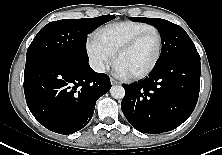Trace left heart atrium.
I'll return each instance as SVG.
<instances>
[{
  "label": "left heart atrium",
  "instance_id": "1",
  "mask_svg": "<svg viewBox=\"0 0 222 155\" xmlns=\"http://www.w3.org/2000/svg\"><path fill=\"white\" fill-rule=\"evenodd\" d=\"M115 73L118 75V76H121V77H125V76H128L129 73L127 72V70L124 68V66L122 64H120L119 62H117L115 64Z\"/></svg>",
  "mask_w": 222,
  "mask_h": 155
}]
</instances>
